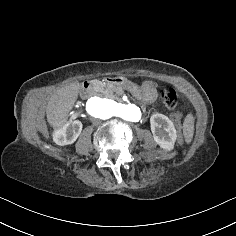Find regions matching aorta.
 Listing matches in <instances>:
<instances>
[{
	"mask_svg": "<svg viewBox=\"0 0 236 236\" xmlns=\"http://www.w3.org/2000/svg\"><path fill=\"white\" fill-rule=\"evenodd\" d=\"M85 107L90 117L102 120L119 117L125 121L139 122L142 116L140 109L134 104H118L96 96L89 98Z\"/></svg>",
	"mask_w": 236,
	"mask_h": 236,
	"instance_id": "aorta-1",
	"label": "aorta"
}]
</instances>
